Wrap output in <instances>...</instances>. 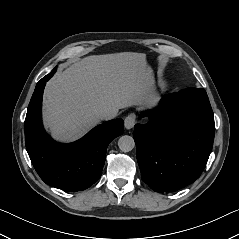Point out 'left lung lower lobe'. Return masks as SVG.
<instances>
[{
	"mask_svg": "<svg viewBox=\"0 0 239 239\" xmlns=\"http://www.w3.org/2000/svg\"><path fill=\"white\" fill-rule=\"evenodd\" d=\"M162 108L141 113L134 140L142 180L156 192H173L194 182L212 150L213 111L202 88H187L161 99Z\"/></svg>",
	"mask_w": 239,
	"mask_h": 239,
	"instance_id": "0a47b994",
	"label": "left lung lower lobe"
}]
</instances>
